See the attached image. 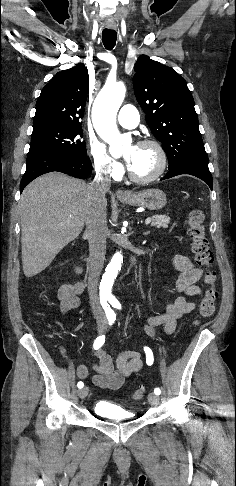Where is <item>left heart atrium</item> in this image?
Wrapping results in <instances>:
<instances>
[{
  "mask_svg": "<svg viewBox=\"0 0 236 486\" xmlns=\"http://www.w3.org/2000/svg\"><path fill=\"white\" fill-rule=\"evenodd\" d=\"M134 154H135V151H132V153L130 154V156L126 158V163H127L128 167L131 165V163L133 161Z\"/></svg>",
  "mask_w": 236,
  "mask_h": 486,
  "instance_id": "obj_1",
  "label": "left heart atrium"
}]
</instances>
